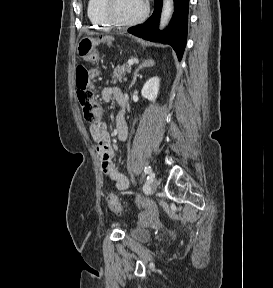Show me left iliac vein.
<instances>
[{
	"mask_svg": "<svg viewBox=\"0 0 273 288\" xmlns=\"http://www.w3.org/2000/svg\"><path fill=\"white\" fill-rule=\"evenodd\" d=\"M158 188V181L156 178H153L150 183V192L155 193Z\"/></svg>",
	"mask_w": 273,
	"mask_h": 288,
	"instance_id": "obj_1",
	"label": "left iliac vein"
}]
</instances>
